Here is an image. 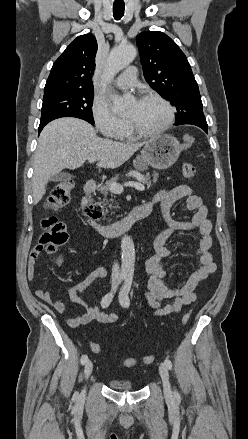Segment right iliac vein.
Returning <instances> with one entry per match:
<instances>
[{"label":"right iliac vein","instance_id":"right-iliac-vein-1","mask_svg":"<svg viewBox=\"0 0 248 439\" xmlns=\"http://www.w3.org/2000/svg\"><path fill=\"white\" fill-rule=\"evenodd\" d=\"M93 371V363L92 361H87L84 367V375L85 378L88 379Z\"/></svg>","mask_w":248,"mask_h":439}]
</instances>
